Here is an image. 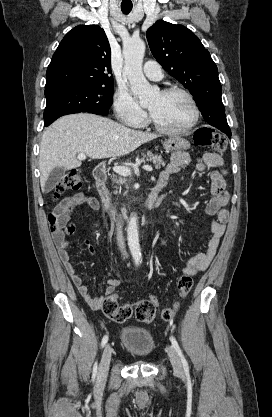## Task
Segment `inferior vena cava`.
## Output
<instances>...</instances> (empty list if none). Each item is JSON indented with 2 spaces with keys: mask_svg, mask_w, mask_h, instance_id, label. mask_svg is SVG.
<instances>
[{
  "mask_svg": "<svg viewBox=\"0 0 272 417\" xmlns=\"http://www.w3.org/2000/svg\"><path fill=\"white\" fill-rule=\"evenodd\" d=\"M117 243L121 251L124 250V238H123V232H122V225L120 222L117 224Z\"/></svg>",
  "mask_w": 272,
  "mask_h": 417,
  "instance_id": "602c4592",
  "label": "inferior vena cava"
}]
</instances>
